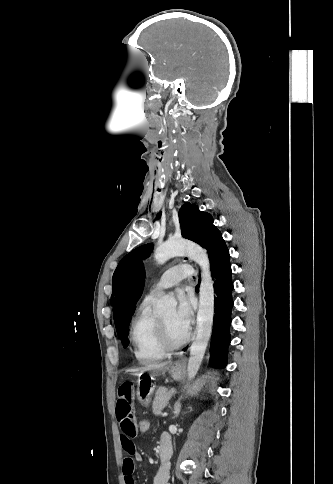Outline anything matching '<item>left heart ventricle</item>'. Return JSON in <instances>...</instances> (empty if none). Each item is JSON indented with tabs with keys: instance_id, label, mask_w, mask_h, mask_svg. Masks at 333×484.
<instances>
[{
	"instance_id": "left-heart-ventricle-1",
	"label": "left heart ventricle",
	"mask_w": 333,
	"mask_h": 484,
	"mask_svg": "<svg viewBox=\"0 0 333 484\" xmlns=\"http://www.w3.org/2000/svg\"><path fill=\"white\" fill-rule=\"evenodd\" d=\"M174 312H175L174 310H170V311L160 315V317L162 318V320L164 321V323L166 325V328H167V331H168L170 338L173 339V340H179L186 333L181 331L178 328V326L176 325V323L174 321Z\"/></svg>"
}]
</instances>
